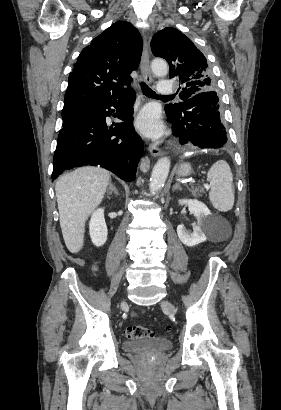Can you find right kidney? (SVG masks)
<instances>
[{
    "instance_id": "ca27d5eb",
    "label": "right kidney",
    "mask_w": 281,
    "mask_h": 410,
    "mask_svg": "<svg viewBox=\"0 0 281 410\" xmlns=\"http://www.w3.org/2000/svg\"><path fill=\"white\" fill-rule=\"evenodd\" d=\"M89 233L92 243L100 247L105 244L107 240L108 230L104 218V209H97L91 216L89 222Z\"/></svg>"
}]
</instances>
